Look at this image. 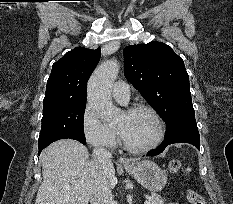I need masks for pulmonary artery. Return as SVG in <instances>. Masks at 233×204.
Returning a JSON list of instances; mask_svg holds the SVG:
<instances>
[{
    "label": "pulmonary artery",
    "instance_id": "pulmonary-artery-1",
    "mask_svg": "<svg viewBox=\"0 0 233 204\" xmlns=\"http://www.w3.org/2000/svg\"><path fill=\"white\" fill-rule=\"evenodd\" d=\"M112 95L120 103H127L130 98L129 85L124 81H117L112 88Z\"/></svg>",
    "mask_w": 233,
    "mask_h": 204
}]
</instances>
